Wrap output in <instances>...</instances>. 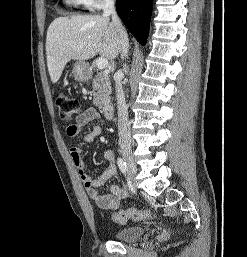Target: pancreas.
Listing matches in <instances>:
<instances>
[{
	"label": "pancreas",
	"instance_id": "obj_1",
	"mask_svg": "<svg viewBox=\"0 0 247 257\" xmlns=\"http://www.w3.org/2000/svg\"><path fill=\"white\" fill-rule=\"evenodd\" d=\"M93 104L104 109L110 104L111 86L109 75L98 73L92 80Z\"/></svg>",
	"mask_w": 247,
	"mask_h": 257
}]
</instances>
